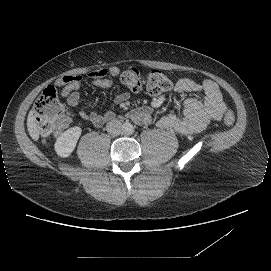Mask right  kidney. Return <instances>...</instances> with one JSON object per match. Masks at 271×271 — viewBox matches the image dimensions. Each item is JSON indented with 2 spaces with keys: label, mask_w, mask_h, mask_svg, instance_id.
<instances>
[{
  "label": "right kidney",
  "mask_w": 271,
  "mask_h": 271,
  "mask_svg": "<svg viewBox=\"0 0 271 271\" xmlns=\"http://www.w3.org/2000/svg\"><path fill=\"white\" fill-rule=\"evenodd\" d=\"M81 134L78 127L66 130L56 141V151L60 156H68L74 149L75 144Z\"/></svg>",
  "instance_id": "right-kidney-1"
}]
</instances>
